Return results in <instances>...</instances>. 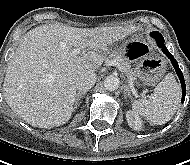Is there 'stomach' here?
<instances>
[{
	"mask_svg": "<svg viewBox=\"0 0 190 165\" xmlns=\"http://www.w3.org/2000/svg\"><path fill=\"white\" fill-rule=\"evenodd\" d=\"M118 56L129 62V70L138 77L142 85H154L162 77L165 61L149 50L143 36H123L118 41Z\"/></svg>",
	"mask_w": 190,
	"mask_h": 165,
	"instance_id": "0dacf381",
	"label": "stomach"
}]
</instances>
